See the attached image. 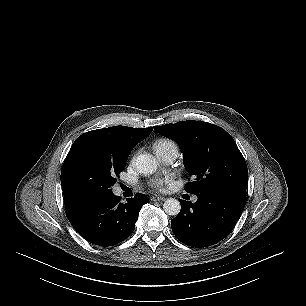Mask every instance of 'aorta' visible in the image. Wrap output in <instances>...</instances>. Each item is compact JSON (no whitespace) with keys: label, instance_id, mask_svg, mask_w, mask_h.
Instances as JSON below:
<instances>
[{"label":"aorta","instance_id":"obj_1","mask_svg":"<svg viewBox=\"0 0 306 306\" xmlns=\"http://www.w3.org/2000/svg\"><path fill=\"white\" fill-rule=\"evenodd\" d=\"M159 166L158 159L151 154H140L135 159V167L137 171L144 175L154 173ZM166 214L176 216L181 210L180 202L174 198L167 199L163 204Z\"/></svg>","mask_w":306,"mask_h":306}]
</instances>
